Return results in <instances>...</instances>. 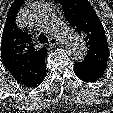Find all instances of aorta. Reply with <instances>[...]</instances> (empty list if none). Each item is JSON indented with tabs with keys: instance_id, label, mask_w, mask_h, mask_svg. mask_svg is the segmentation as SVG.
<instances>
[{
	"instance_id": "obj_1",
	"label": "aorta",
	"mask_w": 113,
	"mask_h": 113,
	"mask_svg": "<svg viewBox=\"0 0 113 113\" xmlns=\"http://www.w3.org/2000/svg\"><path fill=\"white\" fill-rule=\"evenodd\" d=\"M41 19L51 34L62 38L66 51L73 60L81 61L84 59L87 48L83 39L74 29L51 13L43 14Z\"/></svg>"
}]
</instances>
